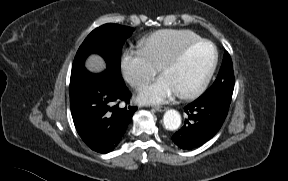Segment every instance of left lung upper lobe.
Instances as JSON below:
<instances>
[{"label": "left lung upper lobe", "mask_w": 288, "mask_h": 181, "mask_svg": "<svg viewBox=\"0 0 288 181\" xmlns=\"http://www.w3.org/2000/svg\"><path fill=\"white\" fill-rule=\"evenodd\" d=\"M234 73L231 58L228 52H225L222 66L213 85L198 99H214L229 106L234 89Z\"/></svg>", "instance_id": "5c2ea615"}]
</instances>
